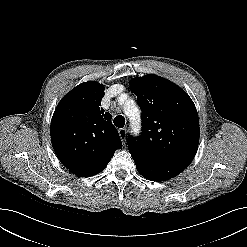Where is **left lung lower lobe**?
I'll list each match as a JSON object with an SVG mask.
<instances>
[{"instance_id": "left-lung-lower-lobe-1", "label": "left lung lower lobe", "mask_w": 247, "mask_h": 247, "mask_svg": "<svg viewBox=\"0 0 247 247\" xmlns=\"http://www.w3.org/2000/svg\"><path fill=\"white\" fill-rule=\"evenodd\" d=\"M135 161L138 172L152 181H164L177 176L184 169L176 166L162 165L151 162L138 155H131Z\"/></svg>"}]
</instances>
